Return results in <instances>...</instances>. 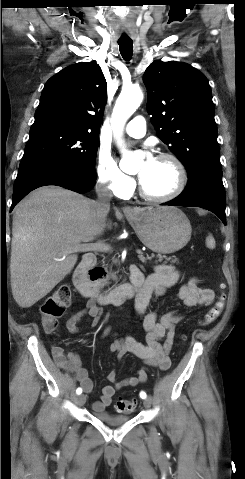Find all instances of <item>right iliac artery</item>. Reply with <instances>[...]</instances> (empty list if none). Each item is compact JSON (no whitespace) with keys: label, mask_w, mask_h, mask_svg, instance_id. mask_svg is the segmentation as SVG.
Wrapping results in <instances>:
<instances>
[{"label":"right iliac artery","mask_w":245,"mask_h":479,"mask_svg":"<svg viewBox=\"0 0 245 479\" xmlns=\"http://www.w3.org/2000/svg\"><path fill=\"white\" fill-rule=\"evenodd\" d=\"M76 393H77L78 395L81 394V393H82V389H81L80 387L77 388Z\"/></svg>","instance_id":"right-iliac-artery-1"}]
</instances>
